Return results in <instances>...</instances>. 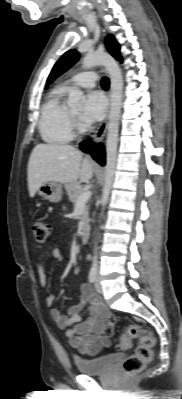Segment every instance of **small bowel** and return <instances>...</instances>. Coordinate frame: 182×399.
Masks as SVG:
<instances>
[{
    "instance_id": "c3829d8e",
    "label": "small bowel",
    "mask_w": 182,
    "mask_h": 399,
    "mask_svg": "<svg viewBox=\"0 0 182 399\" xmlns=\"http://www.w3.org/2000/svg\"><path fill=\"white\" fill-rule=\"evenodd\" d=\"M63 260V253L60 249H53L41 258L37 265V271L42 288L48 286L45 272L46 262H62ZM80 292L78 302L68 307L66 313L63 314L58 309L52 308L50 316L57 327L66 330L65 336L71 347L84 355L94 356L110 346L116 317L101 303L100 297L94 294L89 284H81ZM54 301L55 296L50 294L46 298L47 306L51 307ZM87 305L90 316L83 320L80 311Z\"/></svg>"
}]
</instances>
